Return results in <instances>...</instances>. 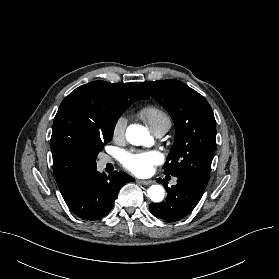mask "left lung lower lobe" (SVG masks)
Segmentation results:
<instances>
[{"instance_id":"obj_1","label":"left lung lower lobe","mask_w":279,"mask_h":279,"mask_svg":"<svg viewBox=\"0 0 279 279\" xmlns=\"http://www.w3.org/2000/svg\"><path fill=\"white\" fill-rule=\"evenodd\" d=\"M177 184L168 187L165 180L157 179L166 186L168 192L165 202L151 203L150 212L166 222H174L188 215L201 199L206 186L192 179L177 177Z\"/></svg>"}]
</instances>
